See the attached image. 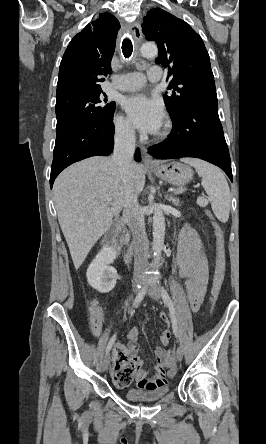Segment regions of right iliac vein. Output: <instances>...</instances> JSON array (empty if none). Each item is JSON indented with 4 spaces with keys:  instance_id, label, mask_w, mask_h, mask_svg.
Here are the masks:
<instances>
[{
    "instance_id": "1",
    "label": "right iliac vein",
    "mask_w": 266,
    "mask_h": 444,
    "mask_svg": "<svg viewBox=\"0 0 266 444\" xmlns=\"http://www.w3.org/2000/svg\"><path fill=\"white\" fill-rule=\"evenodd\" d=\"M143 284V281L142 280H136V282H135V285L137 286V285H142ZM136 286L134 287V292H137V288H136ZM109 363H110V354H109V352L108 353H106V355L104 356V359H103V362H102V369H103V371H105V370H107V368H108V366H109Z\"/></svg>"
}]
</instances>
